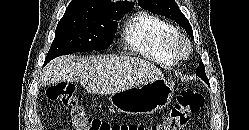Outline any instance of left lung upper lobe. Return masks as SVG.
Returning a JSON list of instances; mask_svg holds the SVG:
<instances>
[{"instance_id": "obj_1", "label": "left lung upper lobe", "mask_w": 249, "mask_h": 130, "mask_svg": "<svg viewBox=\"0 0 249 130\" xmlns=\"http://www.w3.org/2000/svg\"><path fill=\"white\" fill-rule=\"evenodd\" d=\"M138 3L142 8L148 11L175 20L188 35L193 37V31L189 21L182 14L174 0H139ZM196 75L209 85V80L205 74V66L202 61H200V64L196 69Z\"/></svg>"}]
</instances>
